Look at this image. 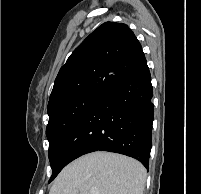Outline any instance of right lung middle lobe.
Wrapping results in <instances>:
<instances>
[{
  "label": "right lung middle lobe",
  "mask_w": 201,
  "mask_h": 194,
  "mask_svg": "<svg viewBox=\"0 0 201 194\" xmlns=\"http://www.w3.org/2000/svg\"><path fill=\"white\" fill-rule=\"evenodd\" d=\"M101 95H87L63 102L48 111L49 122L46 136L49 141L48 156L52 167L49 183L58 174V167L53 159V153L59 146L69 128L92 106Z\"/></svg>",
  "instance_id": "1"
}]
</instances>
